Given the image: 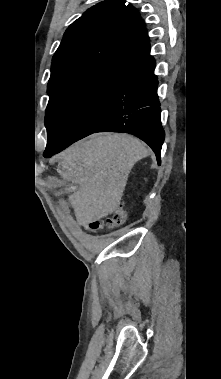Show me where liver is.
<instances>
[{
	"mask_svg": "<svg viewBox=\"0 0 221 379\" xmlns=\"http://www.w3.org/2000/svg\"><path fill=\"white\" fill-rule=\"evenodd\" d=\"M150 153L128 134H93L60 155V176L79 189L69 196L81 225L98 221L115 211L122 199L134 164Z\"/></svg>",
	"mask_w": 221,
	"mask_h": 379,
	"instance_id": "6515ba94",
	"label": "liver"
}]
</instances>
